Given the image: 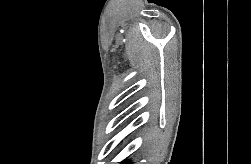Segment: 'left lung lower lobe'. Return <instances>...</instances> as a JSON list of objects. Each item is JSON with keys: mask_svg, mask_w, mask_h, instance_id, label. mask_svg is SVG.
<instances>
[{"mask_svg": "<svg viewBox=\"0 0 251 164\" xmlns=\"http://www.w3.org/2000/svg\"><path fill=\"white\" fill-rule=\"evenodd\" d=\"M121 163H124V164H132V162H128V161H123Z\"/></svg>", "mask_w": 251, "mask_h": 164, "instance_id": "left-lung-lower-lobe-1", "label": "left lung lower lobe"}]
</instances>
